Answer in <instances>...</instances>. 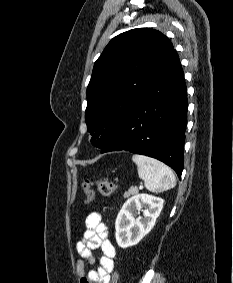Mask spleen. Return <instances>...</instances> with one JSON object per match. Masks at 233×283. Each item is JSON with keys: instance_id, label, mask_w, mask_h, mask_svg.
<instances>
[{"instance_id": "obj_1", "label": "spleen", "mask_w": 233, "mask_h": 283, "mask_svg": "<svg viewBox=\"0 0 233 283\" xmlns=\"http://www.w3.org/2000/svg\"><path fill=\"white\" fill-rule=\"evenodd\" d=\"M132 160L137 165L139 178L149 191L163 192L175 187L176 177L167 165L140 154H134Z\"/></svg>"}]
</instances>
